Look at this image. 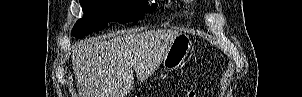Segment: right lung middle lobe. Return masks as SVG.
Masks as SVG:
<instances>
[{"label":"right lung middle lobe","instance_id":"dd1d6c3e","mask_svg":"<svg viewBox=\"0 0 302 97\" xmlns=\"http://www.w3.org/2000/svg\"><path fill=\"white\" fill-rule=\"evenodd\" d=\"M143 0H80L84 17L76 22L71 35L82 38L89 33L104 29L108 22H131L152 12L157 5L147 7Z\"/></svg>","mask_w":302,"mask_h":97}]
</instances>
